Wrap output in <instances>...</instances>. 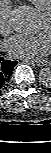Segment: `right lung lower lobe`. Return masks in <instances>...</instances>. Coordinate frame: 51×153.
<instances>
[{
    "mask_svg": "<svg viewBox=\"0 0 51 153\" xmlns=\"http://www.w3.org/2000/svg\"><path fill=\"white\" fill-rule=\"evenodd\" d=\"M16 64L17 61L4 60L3 57L0 56V88L8 82Z\"/></svg>",
    "mask_w": 51,
    "mask_h": 153,
    "instance_id": "obj_1",
    "label": "right lung lower lobe"
}]
</instances>
